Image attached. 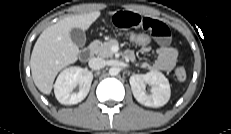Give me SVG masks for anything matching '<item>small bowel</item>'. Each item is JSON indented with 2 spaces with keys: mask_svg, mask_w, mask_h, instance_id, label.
Masks as SVG:
<instances>
[{
  "mask_svg": "<svg viewBox=\"0 0 231 134\" xmlns=\"http://www.w3.org/2000/svg\"><path fill=\"white\" fill-rule=\"evenodd\" d=\"M112 25L119 30H142L149 34L158 43L155 50L156 59L150 62H141L139 65L147 70L170 71L177 62V50L170 46V31L166 24L148 16H141L136 12L117 11L111 17ZM143 52H149L150 47L142 48ZM126 59L135 60L132 51L125 53Z\"/></svg>",
  "mask_w": 231,
  "mask_h": 134,
  "instance_id": "small-bowel-1",
  "label": "small bowel"
}]
</instances>
